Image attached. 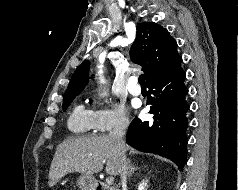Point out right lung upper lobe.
Returning a JSON list of instances; mask_svg holds the SVG:
<instances>
[{"label": "right lung upper lobe", "instance_id": "right-lung-upper-lobe-1", "mask_svg": "<svg viewBox=\"0 0 238 190\" xmlns=\"http://www.w3.org/2000/svg\"><path fill=\"white\" fill-rule=\"evenodd\" d=\"M131 60L142 66L146 81L159 76L172 67L181 56L177 53V43L167 29L150 23L137 24V36L130 49ZM88 60H85L74 72L65 92L80 93L87 85L89 76Z\"/></svg>", "mask_w": 238, "mask_h": 190}]
</instances>
